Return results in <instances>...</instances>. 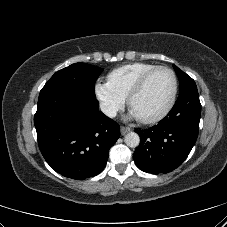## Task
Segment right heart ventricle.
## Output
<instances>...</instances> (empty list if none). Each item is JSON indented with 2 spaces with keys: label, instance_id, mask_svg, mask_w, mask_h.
<instances>
[{
  "label": "right heart ventricle",
  "instance_id": "1",
  "mask_svg": "<svg viewBox=\"0 0 227 227\" xmlns=\"http://www.w3.org/2000/svg\"><path fill=\"white\" fill-rule=\"evenodd\" d=\"M155 64L133 62L113 69L107 76L108 84L124 99L136 81Z\"/></svg>",
  "mask_w": 227,
  "mask_h": 227
}]
</instances>
